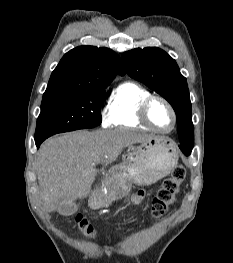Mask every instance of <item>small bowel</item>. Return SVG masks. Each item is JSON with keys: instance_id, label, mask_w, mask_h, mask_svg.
Instances as JSON below:
<instances>
[{"instance_id": "small-bowel-1", "label": "small bowel", "mask_w": 233, "mask_h": 263, "mask_svg": "<svg viewBox=\"0 0 233 263\" xmlns=\"http://www.w3.org/2000/svg\"><path fill=\"white\" fill-rule=\"evenodd\" d=\"M144 197V191H138L132 198L134 203H139Z\"/></svg>"}]
</instances>
